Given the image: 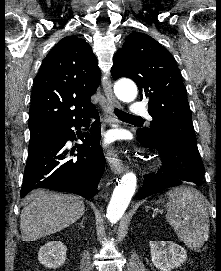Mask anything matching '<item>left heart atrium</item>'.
<instances>
[{
    "instance_id": "left-heart-atrium-1",
    "label": "left heart atrium",
    "mask_w": 221,
    "mask_h": 271,
    "mask_svg": "<svg viewBox=\"0 0 221 271\" xmlns=\"http://www.w3.org/2000/svg\"><path fill=\"white\" fill-rule=\"evenodd\" d=\"M105 137L109 142H111L118 137V134L115 132H110V133H107Z\"/></svg>"
}]
</instances>
